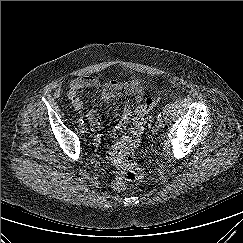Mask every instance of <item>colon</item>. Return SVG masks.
Wrapping results in <instances>:
<instances>
[{
  "label": "colon",
  "mask_w": 243,
  "mask_h": 243,
  "mask_svg": "<svg viewBox=\"0 0 243 243\" xmlns=\"http://www.w3.org/2000/svg\"><path fill=\"white\" fill-rule=\"evenodd\" d=\"M160 101V97L146 99L137 108L132 127L128 134L108 150L107 158L116 167L111 182L115 190H123L126 182H136L141 179V175L137 172L130 153L139 145L143 131L149 120V114Z\"/></svg>",
  "instance_id": "5ec220e1"
}]
</instances>
